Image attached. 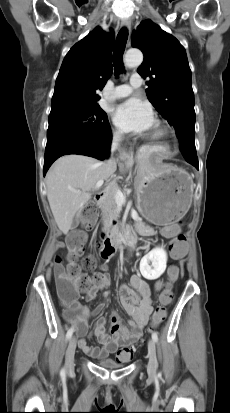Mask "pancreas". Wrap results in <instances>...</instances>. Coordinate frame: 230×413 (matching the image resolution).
<instances>
[{"instance_id":"1","label":"pancreas","mask_w":230,"mask_h":413,"mask_svg":"<svg viewBox=\"0 0 230 413\" xmlns=\"http://www.w3.org/2000/svg\"><path fill=\"white\" fill-rule=\"evenodd\" d=\"M119 190L117 184L113 183L111 187L106 191L104 197L99 203V207L102 211V218L104 222H112L113 220H116L118 218V212H117V203L115 201V191ZM135 226L142 227L143 231H141V234L145 236H152L155 235L156 232L149 226H146L144 222L140 218L136 219Z\"/></svg>"}]
</instances>
